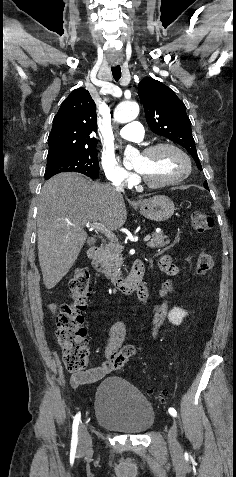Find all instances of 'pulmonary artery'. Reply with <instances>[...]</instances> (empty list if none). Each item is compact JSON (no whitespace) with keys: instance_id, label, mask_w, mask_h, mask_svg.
Segmentation results:
<instances>
[{"instance_id":"e3ab8cb5","label":"pulmonary artery","mask_w":236,"mask_h":477,"mask_svg":"<svg viewBox=\"0 0 236 477\" xmlns=\"http://www.w3.org/2000/svg\"><path fill=\"white\" fill-rule=\"evenodd\" d=\"M118 135L127 140L141 141L144 137L143 127L140 122L132 121L121 127Z\"/></svg>"}]
</instances>
